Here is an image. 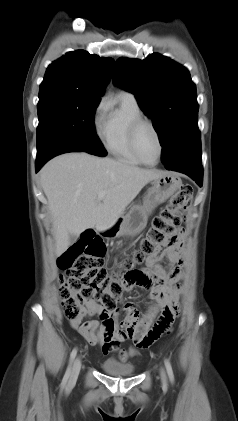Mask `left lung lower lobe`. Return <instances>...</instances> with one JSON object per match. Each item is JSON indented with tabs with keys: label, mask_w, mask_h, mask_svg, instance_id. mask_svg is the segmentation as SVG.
Instances as JSON below:
<instances>
[{
	"label": "left lung lower lobe",
	"mask_w": 238,
	"mask_h": 421,
	"mask_svg": "<svg viewBox=\"0 0 238 421\" xmlns=\"http://www.w3.org/2000/svg\"><path fill=\"white\" fill-rule=\"evenodd\" d=\"M201 158L200 139L192 144L186 151L176 156L169 164L165 165V168L190 176L201 187L203 181Z\"/></svg>",
	"instance_id": "0a47b994"
}]
</instances>
